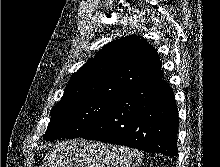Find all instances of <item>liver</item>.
I'll list each match as a JSON object with an SVG mask.
<instances>
[{"label":"liver","mask_w":220,"mask_h":167,"mask_svg":"<svg viewBox=\"0 0 220 167\" xmlns=\"http://www.w3.org/2000/svg\"><path fill=\"white\" fill-rule=\"evenodd\" d=\"M142 157L137 150L79 138L56 142L42 167H137Z\"/></svg>","instance_id":"6515ba94"}]
</instances>
